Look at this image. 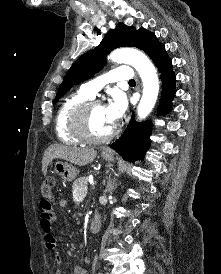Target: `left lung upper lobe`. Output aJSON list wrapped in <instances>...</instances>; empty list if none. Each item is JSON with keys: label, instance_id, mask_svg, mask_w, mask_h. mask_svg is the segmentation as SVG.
Instances as JSON below:
<instances>
[{"label": "left lung upper lobe", "instance_id": "5c2ea615", "mask_svg": "<svg viewBox=\"0 0 221 274\" xmlns=\"http://www.w3.org/2000/svg\"><path fill=\"white\" fill-rule=\"evenodd\" d=\"M162 44L157 37L144 28L136 30L133 26L117 24L114 30H109L101 43L91 51L80 56L74 62L64 77L57 92L54 103L58 101L73 85L91 78L100 71L106 63V55L118 47H137L150 55Z\"/></svg>", "mask_w": 221, "mask_h": 274}]
</instances>
